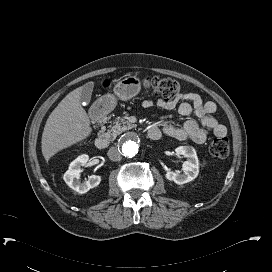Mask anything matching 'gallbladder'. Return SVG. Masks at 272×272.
Instances as JSON below:
<instances>
[{"label":"gallbladder","instance_id":"1","mask_svg":"<svg viewBox=\"0 0 272 272\" xmlns=\"http://www.w3.org/2000/svg\"><path fill=\"white\" fill-rule=\"evenodd\" d=\"M92 91H93V83L91 82L86 83L83 86L80 101H82V103L89 104L91 100Z\"/></svg>","mask_w":272,"mask_h":272}]
</instances>
